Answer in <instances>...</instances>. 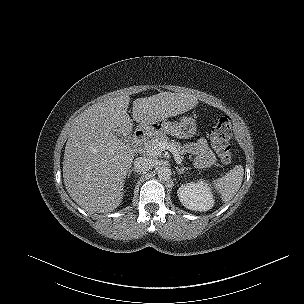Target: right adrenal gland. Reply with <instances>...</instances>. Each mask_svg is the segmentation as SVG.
I'll return each mask as SVG.
<instances>
[{
  "label": "right adrenal gland",
  "mask_w": 304,
  "mask_h": 304,
  "mask_svg": "<svg viewBox=\"0 0 304 304\" xmlns=\"http://www.w3.org/2000/svg\"><path fill=\"white\" fill-rule=\"evenodd\" d=\"M132 172L137 173V174H140V173H138L134 168H131V169L128 170L127 178H130V175H131Z\"/></svg>",
  "instance_id": "obj_1"
}]
</instances>
